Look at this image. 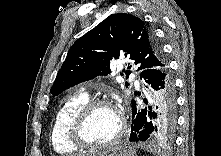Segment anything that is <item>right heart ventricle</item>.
Segmentation results:
<instances>
[{"instance_id":"obj_1","label":"right heart ventricle","mask_w":221,"mask_h":156,"mask_svg":"<svg viewBox=\"0 0 221 156\" xmlns=\"http://www.w3.org/2000/svg\"><path fill=\"white\" fill-rule=\"evenodd\" d=\"M87 101V94L77 93L67 98L57 111L51 129V143L57 153L70 154L78 149L68 139V125L73 115Z\"/></svg>"}]
</instances>
